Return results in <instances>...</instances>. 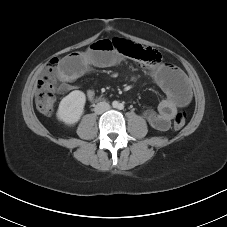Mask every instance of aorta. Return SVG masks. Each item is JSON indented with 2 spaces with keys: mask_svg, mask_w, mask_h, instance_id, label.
Wrapping results in <instances>:
<instances>
[{
  "mask_svg": "<svg viewBox=\"0 0 227 227\" xmlns=\"http://www.w3.org/2000/svg\"><path fill=\"white\" fill-rule=\"evenodd\" d=\"M113 107H114V108H118V107H119V104H118L117 102H114V103H113Z\"/></svg>",
  "mask_w": 227,
  "mask_h": 227,
  "instance_id": "obj_1",
  "label": "aorta"
}]
</instances>
